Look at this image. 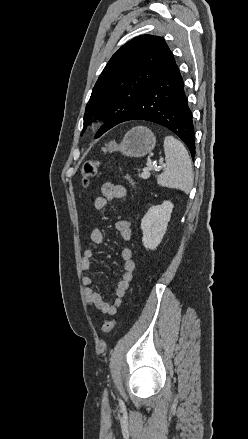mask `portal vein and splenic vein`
Listing matches in <instances>:
<instances>
[{
    "label": "portal vein and splenic vein",
    "mask_w": 248,
    "mask_h": 439,
    "mask_svg": "<svg viewBox=\"0 0 248 439\" xmlns=\"http://www.w3.org/2000/svg\"><path fill=\"white\" fill-rule=\"evenodd\" d=\"M162 168H163V166H158L155 168V166L152 163H148L146 170L142 174L143 179L149 178V176H150L149 171H152V170L160 171Z\"/></svg>",
    "instance_id": "18ae733b"
}]
</instances>
